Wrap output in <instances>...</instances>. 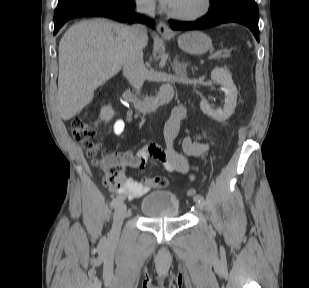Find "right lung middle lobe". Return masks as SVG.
Instances as JSON below:
<instances>
[{
    "label": "right lung middle lobe",
    "mask_w": 309,
    "mask_h": 288,
    "mask_svg": "<svg viewBox=\"0 0 309 288\" xmlns=\"http://www.w3.org/2000/svg\"><path fill=\"white\" fill-rule=\"evenodd\" d=\"M81 0H59L55 13L63 11L64 9L76 4Z\"/></svg>",
    "instance_id": "dd1d6c3e"
}]
</instances>
